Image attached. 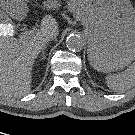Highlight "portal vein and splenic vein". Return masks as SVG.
<instances>
[{
  "instance_id": "portal-vein-and-splenic-vein-1",
  "label": "portal vein and splenic vein",
  "mask_w": 135,
  "mask_h": 135,
  "mask_svg": "<svg viewBox=\"0 0 135 135\" xmlns=\"http://www.w3.org/2000/svg\"><path fill=\"white\" fill-rule=\"evenodd\" d=\"M13 33V30L11 28H7L6 27H1L0 28V35H12ZM22 37H26V36H30L31 34H33V31L32 30H25L21 33Z\"/></svg>"
}]
</instances>
